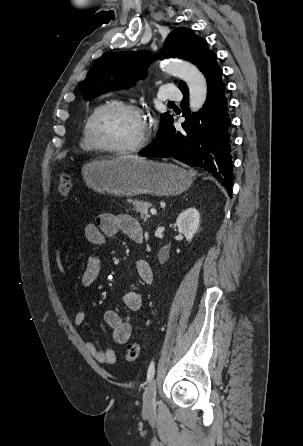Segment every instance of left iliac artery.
Returning a JSON list of instances; mask_svg holds the SVG:
<instances>
[{"mask_svg": "<svg viewBox=\"0 0 303 446\" xmlns=\"http://www.w3.org/2000/svg\"><path fill=\"white\" fill-rule=\"evenodd\" d=\"M154 374H155V364H154V362L152 361V362L150 363L149 368H148V371H147V379H148V381H151V380H152V378L154 377Z\"/></svg>", "mask_w": 303, "mask_h": 446, "instance_id": "left-iliac-artery-1", "label": "left iliac artery"}]
</instances>
